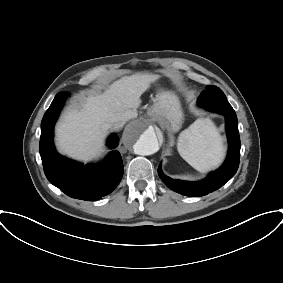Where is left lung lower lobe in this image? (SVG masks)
Segmentation results:
<instances>
[{
	"mask_svg": "<svg viewBox=\"0 0 283 283\" xmlns=\"http://www.w3.org/2000/svg\"><path fill=\"white\" fill-rule=\"evenodd\" d=\"M198 104L206 110L225 116L229 149L224 164L217 171L210 173L206 179L199 182L174 180L163 174L161 164L158 167L159 177L167 187L182 195L191 197L204 196L222 187L235 175L240 160V137L237 116L227 99L212 100L203 91L198 99Z\"/></svg>",
	"mask_w": 283,
	"mask_h": 283,
	"instance_id": "left-lung-lower-lobe-1",
	"label": "left lung lower lobe"
}]
</instances>
